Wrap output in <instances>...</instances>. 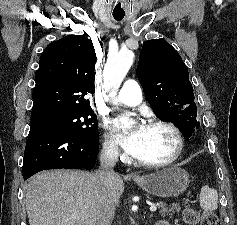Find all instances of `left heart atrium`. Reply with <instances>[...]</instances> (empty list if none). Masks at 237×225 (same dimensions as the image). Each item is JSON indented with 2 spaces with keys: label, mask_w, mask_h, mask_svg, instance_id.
<instances>
[{
  "label": "left heart atrium",
  "mask_w": 237,
  "mask_h": 225,
  "mask_svg": "<svg viewBox=\"0 0 237 225\" xmlns=\"http://www.w3.org/2000/svg\"><path fill=\"white\" fill-rule=\"evenodd\" d=\"M112 126L114 130L117 131L119 141L122 147L125 149V151L128 154L137 157L140 152L141 140L145 126L137 125L130 131L123 132L122 131L123 118L121 117L114 119L112 122Z\"/></svg>",
  "instance_id": "obj_1"
}]
</instances>
